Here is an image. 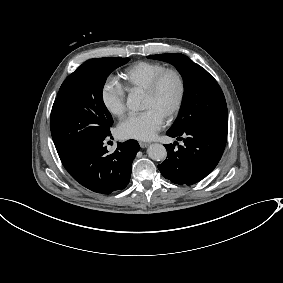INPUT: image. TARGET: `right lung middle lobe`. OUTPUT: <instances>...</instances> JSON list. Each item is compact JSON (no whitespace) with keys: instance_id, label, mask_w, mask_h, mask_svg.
<instances>
[{"instance_id":"dd1d6c3e","label":"right lung middle lobe","mask_w":283,"mask_h":283,"mask_svg":"<svg viewBox=\"0 0 283 283\" xmlns=\"http://www.w3.org/2000/svg\"><path fill=\"white\" fill-rule=\"evenodd\" d=\"M129 60H88L62 83L51 111V134L60 159L88 141L110 134L113 119L103 102V87L110 73Z\"/></svg>"}]
</instances>
